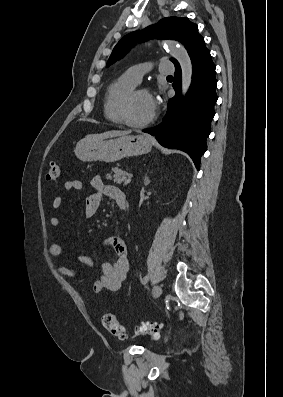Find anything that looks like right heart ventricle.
Segmentation results:
<instances>
[{
	"label": "right heart ventricle",
	"instance_id": "obj_1",
	"mask_svg": "<svg viewBox=\"0 0 283 397\" xmlns=\"http://www.w3.org/2000/svg\"><path fill=\"white\" fill-rule=\"evenodd\" d=\"M136 85L125 74L109 84L103 102L104 116L108 121L117 125L123 124L119 112L120 103L123 97Z\"/></svg>",
	"mask_w": 283,
	"mask_h": 397
}]
</instances>
